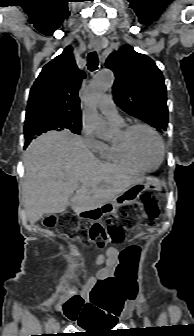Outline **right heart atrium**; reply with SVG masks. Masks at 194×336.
<instances>
[{"mask_svg":"<svg viewBox=\"0 0 194 336\" xmlns=\"http://www.w3.org/2000/svg\"><path fill=\"white\" fill-rule=\"evenodd\" d=\"M82 138L86 147L95 152H98L103 143L98 138H96V136L86 127H84L82 130Z\"/></svg>","mask_w":194,"mask_h":336,"instance_id":"obj_1","label":"right heart atrium"}]
</instances>
